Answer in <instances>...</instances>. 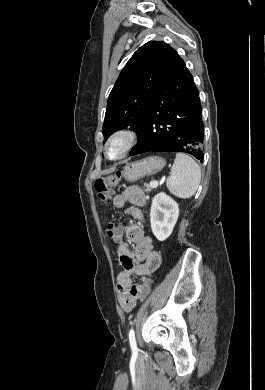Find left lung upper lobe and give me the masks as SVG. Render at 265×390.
<instances>
[{"label": "left lung upper lobe", "mask_w": 265, "mask_h": 390, "mask_svg": "<svg viewBox=\"0 0 265 390\" xmlns=\"http://www.w3.org/2000/svg\"><path fill=\"white\" fill-rule=\"evenodd\" d=\"M179 60L162 41H150L133 54L109 95L102 129L105 141L128 126L140 136L151 101Z\"/></svg>", "instance_id": "1"}]
</instances>
